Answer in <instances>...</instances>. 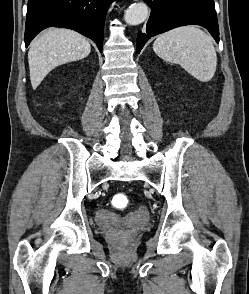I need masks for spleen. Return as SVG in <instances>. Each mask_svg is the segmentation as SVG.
<instances>
[{
  "mask_svg": "<svg viewBox=\"0 0 249 294\" xmlns=\"http://www.w3.org/2000/svg\"><path fill=\"white\" fill-rule=\"evenodd\" d=\"M153 50L160 58L181 65L201 82L210 81L215 74L217 55L212 39L194 25L159 35Z\"/></svg>",
  "mask_w": 249,
  "mask_h": 294,
  "instance_id": "1",
  "label": "spleen"
}]
</instances>
